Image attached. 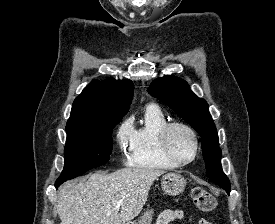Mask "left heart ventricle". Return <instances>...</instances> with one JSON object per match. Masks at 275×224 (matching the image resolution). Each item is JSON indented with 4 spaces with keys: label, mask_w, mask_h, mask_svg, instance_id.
Wrapping results in <instances>:
<instances>
[{
    "label": "left heart ventricle",
    "mask_w": 275,
    "mask_h": 224,
    "mask_svg": "<svg viewBox=\"0 0 275 224\" xmlns=\"http://www.w3.org/2000/svg\"><path fill=\"white\" fill-rule=\"evenodd\" d=\"M170 147L173 153L181 159H188L194 153V142L190 135L182 129H175L171 133Z\"/></svg>",
    "instance_id": "1"
}]
</instances>
